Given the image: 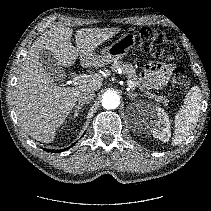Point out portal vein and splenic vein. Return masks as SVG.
<instances>
[{"mask_svg":"<svg viewBox=\"0 0 211 211\" xmlns=\"http://www.w3.org/2000/svg\"><path fill=\"white\" fill-rule=\"evenodd\" d=\"M90 75H87V74H83V75H77L73 78V84H79L80 82H82L83 80L87 79ZM127 85L129 87V89H132L134 90L135 89V86L134 84L130 81V80H127Z\"/></svg>","mask_w":211,"mask_h":211,"instance_id":"18ae733b","label":"portal vein and splenic vein"}]
</instances>
